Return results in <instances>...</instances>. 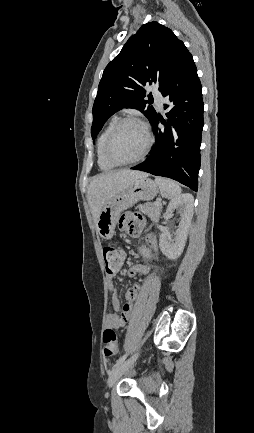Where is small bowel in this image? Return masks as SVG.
<instances>
[{"label": "small bowel", "instance_id": "small-bowel-1", "mask_svg": "<svg viewBox=\"0 0 254 433\" xmlns=\"http://www.w3.org/2000/svg\"><path fill=\"white\" fill-rule=\"evenodd\" d=\"M119 226L120 228L128 231L130 234L137 235L143 229V222L142 220L135 218L132 215L126 214L124 217L120 219ZM147 241L151 246L155 247L154 236L152 235L148 236ZM140 252L145 258L147 259L152 258V253L147 246H142L140 248ZM123 263H124V256L122 255V261L117 272L120 270ZM117 272L109 273V274L112 276ZM148 273H149V268L146 265L140 263L132 265L127 272L128 276L130 277L135 276L137 274L147 275ZM109 288L113 292L111 297L112 310L106 314L105 325L107 327L115 328V329L123 328L130 320L132 308L138 296L139 286L135 285L125 292L124 304H121L120 298L117 295L111 280L109 282Z\"/></svg>", "mask_w": 254, "mask_h": 433}]
</instances>
